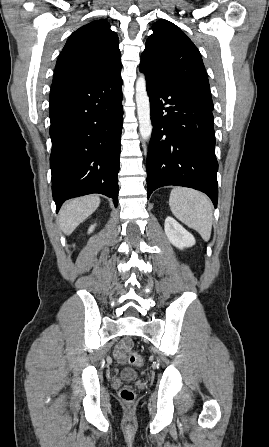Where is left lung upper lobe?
Instances as JSON below:
<instances>
[{"label": "left lung upper lobe", "mask_w": 269, "mask_h": 447, "mask_svg": "<svg viewBox=\"0 0 269 447\" xmlns=\"http://www.w3.org/2000/svg\"><path fill=\"white\" fill-rule=\"evenodd\" d=\"M152 29L140 64L155 75L200 93L212 103L202 57L193 42L166 20L154 23Z\"/></svg>", "instance_id": "left-lung-upper-lobe-1"}]
</instances>
